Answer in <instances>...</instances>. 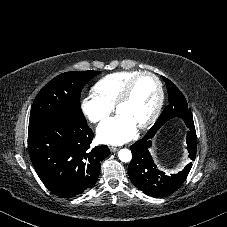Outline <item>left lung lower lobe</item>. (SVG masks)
I'll return each mask as SVG.
<instances>
[{"label":"left lung lower lobe","mask_w":227,"mask_h":227,"mask_svg":"<svg viewBox=\"0 0 227 227\" xmlns=\"http://www.w3.org/2000/svg\"><path fill=\"white\" fill-rule=\"evenodd\" d=\"M186 126L189 128L186 136L189 158L195 160L197 137L194 122L189 121ZM154 135H145L130 147L133 157L128 167V173L132 183L146 195L164 197L176 191L184 183L192 163L186 165L177 174L165 175L163 171L158 169L149 152Z\"/></svg>","instance_id":"1"}]
</instances>
